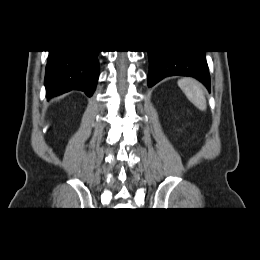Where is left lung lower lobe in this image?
<instances>
[{"mask_svg": "<svg viewBox=\"0 0 260 260\" xmlns=\"http://www.w3.org/2000/svg\"><path fill=\"white\" fill-rule=\"evenodd\" d=\"M203 50L148 51V86L168 76H190L210 89V75Z\"/></svg>", "mask_w": 260, "mask_h": 260, "instance_id": "left-lung-lower-lobe-1", "label": "left lung lower lobe"}]
</instances>
